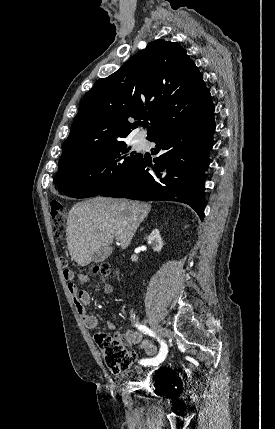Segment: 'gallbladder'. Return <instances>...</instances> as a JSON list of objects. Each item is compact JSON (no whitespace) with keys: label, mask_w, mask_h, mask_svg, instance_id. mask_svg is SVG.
<instances>
[{"label":"gallbladder","mask_w":275,"mask_h":429,"mask_svg":"<svg viewBox=\"0 0 275 429\" xmlns=\"http://www.w3.org/2000/svg\"><path fill=\"white\" fill-rule=\"evenodd\" d=\"M112 254L111 248H103L97 250L92 257V261L95 263L103 262L105 261L110 255Z\"/></svg>","instance_id":"bac80fb5"}]
</instances>
